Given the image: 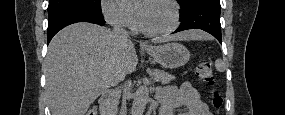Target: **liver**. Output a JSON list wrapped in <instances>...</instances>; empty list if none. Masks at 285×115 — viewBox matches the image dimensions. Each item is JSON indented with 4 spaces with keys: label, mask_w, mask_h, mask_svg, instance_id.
Here are the masks:
<instances>
[{
    "label": "liver",
    "mask_w": 285,
    "mask_h": 115,
    "mask_svg": "<svg viewBox=\"0 0 285 115\" xmlns=\"http://www.w3.org/2000/svg\"><path fill=\"white\" fill-rule=\"evenodd\" d=\"M199 30L176 34L174 40L207 38ZM170 39L156 38L162 43ZM138 58L130 39L116 38L110 30L76 23L58 32L45 59L46 92L52 115H85L98 96L116 82L119 71L132 73Z\"/></svg>",
    "instance_id": "liver-1"
}]
</instances>
